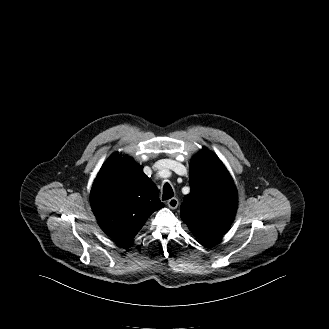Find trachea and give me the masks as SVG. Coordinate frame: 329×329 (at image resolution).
<instances>
[{"mask_svg": "<svg viewBox=\"0 0 329 329\" xmlns=\"http://www.w3.org/2000/svg\"><path fill=\"white\" fill-rule=\"evenodd\" d=\"M174 196L173 190L168 183H165L163 186V200H168Z\"/></svg>", "mask_w": 329, "mask_h": 329, "instance_id": "trachea-1", "label": "trachea"}]
</instances>
